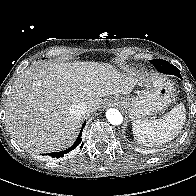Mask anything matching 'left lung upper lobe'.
<instances>
[{"instance_id": "left-lung-upper-lobe-1", "label": "left lung upper lobe", "mask_w": 196, "mask_h": 196, "mask_svg": "<svg viewBox=\"0 0 196 196\" xmlns=\"http://www.w3.org/2000/svg\"><path fill=\"white\" fill-rule=\"evenodd\" d=\"M150 62L161 73H164V74H172V75L180 74L179 70L175 66L171 65L170 63H168L165 60H162V59H154V60H150Z\"/></svg>"}]
</instances>
